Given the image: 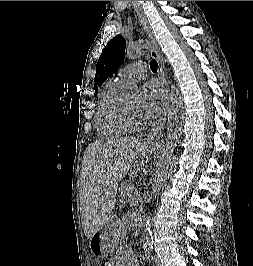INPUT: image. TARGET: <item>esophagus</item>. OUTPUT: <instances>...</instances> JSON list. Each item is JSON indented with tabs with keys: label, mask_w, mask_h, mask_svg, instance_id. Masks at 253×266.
Instances as JSON below:
<instances>
[{
	"label": "esophagus",
	"mask_w": 253,
	"mask_h": 266,
	"mask_svg": "<svg viewBox=\"0 0 253 266\" xmlns=\"http://www.w3.org/2000/svg\"><path fill=\"white\" fill-rule=\"evenodd\" d=\"M133 6H134L135 11L137 13V16L139 18L140 24L142 25V29H143L144 33L146 34L147 39L149 40V42L151 44L150 53H151L152 57H155L157 59L158 75L164 84L166 94H167V102H166L165 109H164L162 116L160 117V119L158 120L156 125L149 131V133L146 135V137L144 139L145 143H152V142L160 139V137L163 134L165 125H166L167 115H168V111H169L170 97H171L170 86L168 84V81L166 79V75L164 73L163 59L160 55V52L158 49V43L154 37L152 29H151L146 17L144 16L141 9L139 8V5L136 3V1H133Z\"/></svg>",
	"instance_id": "obj_1"
}]
</instances>
